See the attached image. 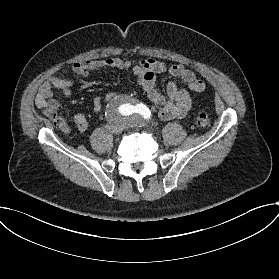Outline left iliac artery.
<instances>
[{
  "label": "left iliac artery",
  "instance_id": "obj_1",
  "mask_svg": "<svg viewBox=\"0 0 279 279\" xmlns=\"http://www.w3.org/2000/svg\"><path fill=\"white\" fill-rule=\"evenodd\" d=\"M141 114H142L143 117L146 118V119H149L150 116H151L150 110H149L145 105L142 107V113H141Z\"/></svg>",
  "mask_w": 279,
  "mask_h": 279
}]
</instances>
